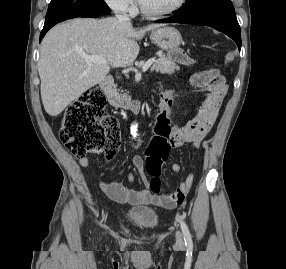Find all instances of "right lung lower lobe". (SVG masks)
Returning a JSON list of instances; mask_svg holds the SVG:
<instances>
[{
	"instance_id": "obj_1",
	"label": "right lung lower lobe",
	"mask_w": 286,
	"mask_h": 269,
	"mask_svg": "<svg viewBox=\"0 0 286 269\" xmlns=\"http://www.w3.org/2000/svg\"><path fill=\"white\" fill-rule=\"evenodd\" d=\"M98 15H94V14H79V15H74V16H70V17H66L54 22H51L49 24H44L43 30L41 31L40 34V42L43 39V37L45 36V34L47 33V31L52 28L54 25H56L57 23H60L62 21H65L67 19H71V18H76V17H97Z\"/></svg>"
}]
</instances>
